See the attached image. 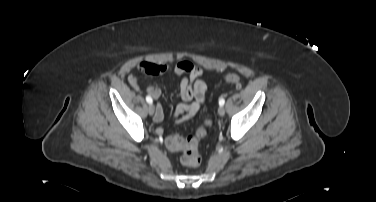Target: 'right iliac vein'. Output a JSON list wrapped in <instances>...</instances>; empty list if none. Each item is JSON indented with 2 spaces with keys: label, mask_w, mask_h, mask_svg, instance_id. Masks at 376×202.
Instances as JSON below:
<instances>
[{
  "label": "right iliac vein",
  "mask_w": 376,
  "mask_h": 202,
  "mask_svg": "<svg viewBox=\"0 0 376 202\" xmlns=\"http://www.w3.org/2000/svg\"><path fill=\"white\" fill-rule=\"evenodd\" d=\"M154 111H155V107H154V105L149 104V106H148V112H149V114H150V115H153V114H154Z\"/></svg>",
  "instance_id": "obj_1"
}]
</instances>
